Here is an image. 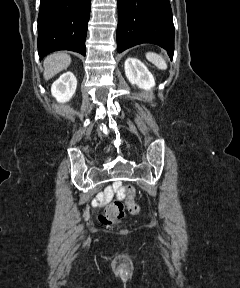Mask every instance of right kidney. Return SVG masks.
Instances as JSON below:
<instances>
[{"mask_svg": "<svg viewBox=\"0 0 240 288\" xmlns=\"http://www.w3.org/2000/svg\"><path fill=\"white\" fill-rule=\"evenodd\" d=\"M77 87L76 77L72 72H66L57 79L51 87V93L60 103L69 101Z\"/></svg>", "mask_w": 240, "mask_h": 288, "instance_id": "right-kidney-1", "label": "right kidney"}]
</instances>
